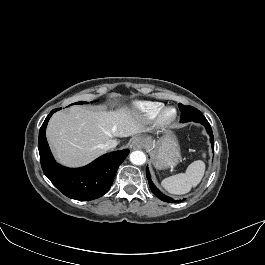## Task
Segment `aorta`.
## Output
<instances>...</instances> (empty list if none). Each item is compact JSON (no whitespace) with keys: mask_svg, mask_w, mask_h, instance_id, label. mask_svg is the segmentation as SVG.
Returning a JSON list of instances; mask_svg holds the SVG:
<instances>
[{"mask_svg":"<svg viewBox=\"0 0 265 265\" xmlns=\"http://www.w3.org/2000/svg\"><path fill=\"white\" fill-rule=\"evenodd\" d=\"M130 161L135 165H143L146 162V155L142 151H134L130 154Z\"/></svg>","mask_w":265,"mask_h":265,"instance_id":"obj_1","label":"aorta"}]
</instances>
